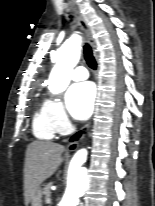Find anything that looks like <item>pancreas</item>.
Returning <instances> with one entry per match:
<instances>
[{"label": "pancreas", "mask_w": 155, "mask_h": 206, "mask_svg": "<svg viewBox=\"0 0 155 206\" xmlns=\"http://www.w3.org/2000/svg\"><path fill=\"white\" fill-rule=\"evenodd\" d=\"M52 186V182H49L45 185V188L43 190V193L45 195V200L47 203L50 202V196H51V193H50V187Z\"/></svg>", "instance_id": "pancreas-1"}]
</instances>
